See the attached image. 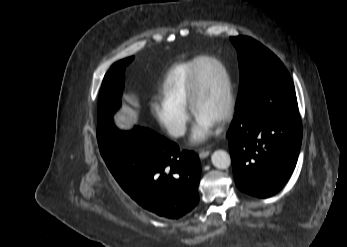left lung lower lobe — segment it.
Returning a JSON list of instances; mask_svg holds the SVG:
<instances>
[{"instance_id": "left-lung-lower-lobe-1", "label": "left lung lower lobe", "mask_w": 347, "mask_h": 247, "mask_svg": "<svg viewBox=\"0 0 347 247\" xmlns=\"http://www.w3.org/2000/svg\"><path fill=\"white\" fill-rule=\"evenodd\" d=\"M227 137L237 187L259 198L280 191L295 168L302 140L292 79L266 83L237 108Z\"/></svg>"}]
</instances>
